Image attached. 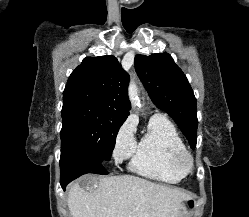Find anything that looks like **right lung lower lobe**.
Masks as SVG:
<instances>
[{"mask_svg": "<svg viewBox=\"0 0 249 217\" xmlns=\"http://www.w3.org/2000/svg\"><path fill=\"white\" fill-rule=\"evenodd\" d=\"M60 171L63 190L69 182L83 174L89 172L108 174L103 163H100L97 157L77 147L63 146H61Z\"/></svg>", "mask_w": 249, "mask_h": 217, "instance_id": "obj_1", "label": "right lung lower lobe"}]
</instances>
